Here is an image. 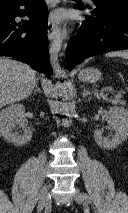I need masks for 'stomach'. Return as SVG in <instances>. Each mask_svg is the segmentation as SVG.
<instances>
[{
  "mask_svg": "<svg viewBox=\"0 0 128 213\" xmlns=\"http://www.w3.org/2000/svg\"><path fill=\"white\" fill-rule=\"evenodd\" d=\"M101 72L94 67L79 70V78L83 82L94 83L101 78Z\"/></svg>",
  "mask_w": 128,
  "mask_h": 213,
  "instance_id": "1",
  "label": "stomach"
}]
</instances>
